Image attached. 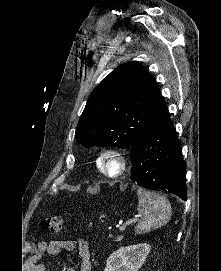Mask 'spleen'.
Wrapping results in <instances>:
<instances>
[{"label": "spleen", "mask_w": 221, "mask_h": 271, "mask_svg": "<svg viewBox=\"0 0 221 271\" xmlns=\"http://www.w3.org/2000/svg\"><path fill=\"white\" fill-rule=\"evenodd\" d=\"M137 193L139 221L135 227L136 233H146V231H152V229L166 225L172 215L169 199L160 193L145 191L142 187H138Z\"/></svg>", "instance_id": "obj_1"}]
</instances>
